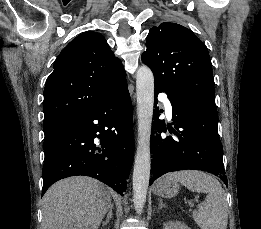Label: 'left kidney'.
Listing matches in <instances>:
<instances>
[{
  "label": "left kidney",
  "instance_id": "5707ae66",
  "mask_svg": "<svg viewBox=\"0 0 261 229\" xmlns=\"http://www.w3.org/2000/svg\"><path fill=\"white\" fill-rule=\"evenodd\" d=\"M163 229H189L187 225H184V223H180V221H169V223H164Z\"/></svg>",
  "mask_w": 261,
  "mask_h": 229
}]
</instances>
